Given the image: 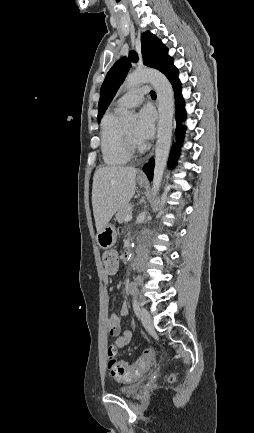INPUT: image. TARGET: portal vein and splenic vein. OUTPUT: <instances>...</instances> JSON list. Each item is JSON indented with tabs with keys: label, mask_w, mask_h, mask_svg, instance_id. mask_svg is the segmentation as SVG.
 Instances as JSON below:
<instances>
[{
	"label": "portal vein and splenic vein",
	"mask_w": 254,
	"mask_h": 433,
	"mask_svg": "<svg viewBox=\"0 0 254 433\" xmlns=\"http://www.w3.org/2000/svg\"><path fill=\"white\" fill-rule=\"evenodd\" d=\"M131 219H132V214L127 215V216L125 217V221H126V222L129 221V220H131Z\"/></svg>",
	"instance_id": "1"
}]
</instances>
